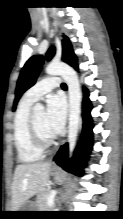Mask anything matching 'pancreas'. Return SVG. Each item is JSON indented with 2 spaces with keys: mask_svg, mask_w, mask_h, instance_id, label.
<instances>
[{
  "mask_svg": "<svg viewBox=\"0 0 123 219\" xmlns=\"http://www.w3.org/2000/svg\"><path fill=\"white\" fill-rule=\"evenodd\" d=\"M50 194V191L45 188L37 197V200L35 202L36 208L38 211H50L49 208L47 206V197Z\"/></svg>",
  "mask_w": 123,
  "mask_h": 219,
  "instance_id": "pancreas-1",
  "label": "pancreas"
}]
</instances>
